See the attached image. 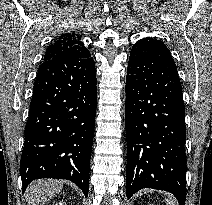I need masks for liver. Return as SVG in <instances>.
<instances>
[{"label":"liver","mask_w":212,"mask_h":205,"mask_svg":"<svg viewBox=\"0 0 212 205\" xmlns=\"http://www.w3.org/2000/svg\"><path fill=\"white\" fill-rule=\"evenodd\" d=\"M63 188V181L43 179L30 184L26 191L28 205H44L54 198Z\"/></svg>","instance_id":"6515ba94"}]
</instances>
